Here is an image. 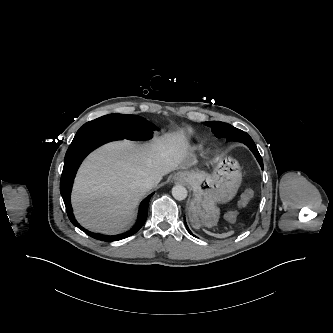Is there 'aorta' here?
<instances>
[{"instance_id": "1", "label": "aorta", "mask_w": 333, "mask_h": 333, "mask_svg": "<svg viewBox=\"0 0 333 333\" xmlns=\"http://www.w3.org/2000/svg\"><path fill=\"white\" fill-rule=\"evenodd\" d=\"M172 195L176 200H184L187 197V190L182 185H175L172 188Z\"/></svg>"}]
</instances>
